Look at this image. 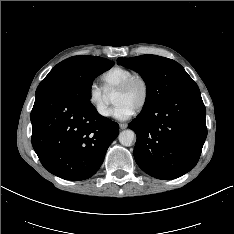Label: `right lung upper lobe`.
Returning a JSON list of instances; mask_svg holds the SVG:
<instances>
[{"label": "right lung upper lobe", "mask_w": 234, "mask_h": 234, "mask_svg": "<svg viewBox=\"0 0 234 234\" xmlns=\"http://www.w3.org/2000/svg\"><path fill=\"white\" fill-rule=\"evenodd\" d=\"M88 58H93V59H95V58H98V57H96V56H87Z\"/></svg>", "instance_id": "cb5924a9"}]
</instances>
